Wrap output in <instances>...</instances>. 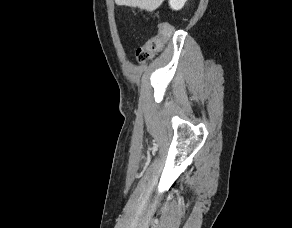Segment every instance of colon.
<instances>
[{
    "instance_id": "1",
    "label": "colon",
    "mask_w": 292,
    "mask_h": 228,
    "mask_svg": "<svg viewBox=\"0 0 292 228\" xmlns=\"http://www.w3.org/2000/svg\"><path fill=\"white\" fill-rule=\"evenodd\" d=\"M170 34L171 28L167 25H162L158 36L151 38L143 46L137 49V59L140 62H146L149 60L161 48L163 42L170 36Z\"/></svg>"
}]
</instances>
